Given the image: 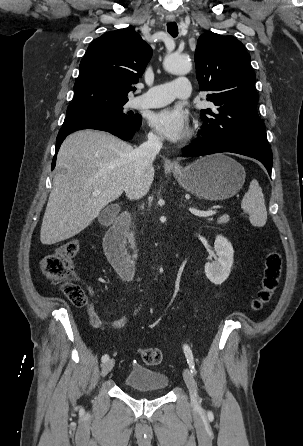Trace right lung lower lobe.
Returning <instances> with one entry per match:
<instances>
[{"instance_id":"98d812e1","label":"right lung lower lobe","mask_w":303,"mask_h":446,"mask_svg":"<svg viewBox=\"0 0 303 446\" xmlns=\"http://www.w3.org/2000/svg\"><path fill=\"white\" fill-rule=\"evenodd\" d=\"M82 129H95L109 132L123 140H129L138 131V128H130L120 122H116L105 118H85L78 121L63 125L56 139L55 156L52 161V170L55 167L56 155L63 140L70 133Z\"/></svg>"}]
</instances>
